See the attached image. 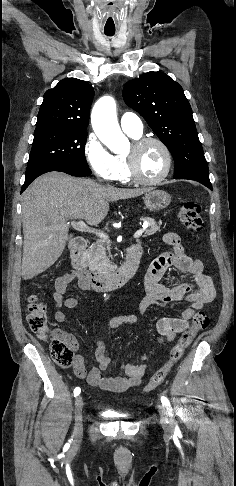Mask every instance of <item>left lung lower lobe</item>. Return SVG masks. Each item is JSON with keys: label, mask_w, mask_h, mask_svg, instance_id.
Segmentation results:
<instances>
[{"label": "left lung lower lobe", "mask_w": 236, "mask_h": 486, "mask_svg": "<svg viewBox=\"0 0 236 486\" xmlns=\"http://www.w3.org/2000/svg\"><path fill=\"white\" fill-rule=\"evenodd\" d=\"M174 179H175V178H174ZM202 184H204V185H205V186H207L208 188L212 189V185H211V183H202Z\"/></svg>", "instance_id": "left-lung-lower-lobe-1"}]
</instances>
